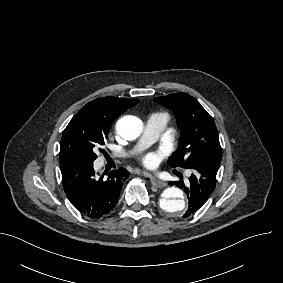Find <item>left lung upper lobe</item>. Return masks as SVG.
<instances>
[{
    "label": "left lung upper lobe",
    "instance_id": "left-lung-upper-lobe-1",
    "mask_svg": "<svg viewBox=\"0 0 283 283\" xmlns=\"http://www.w3.org/2000/svg\"><path fill=\"white\" fill-rule=\"evenodd\" d=\"M155 101L173 109L181 130L179 147L169 158L171 167L190 168L204 159L221 160L217 129L212 117L187 93L156 97Z\"/></svg>",
    "mask_w": 283,
    "mask_h": 283
}]
</instances>
